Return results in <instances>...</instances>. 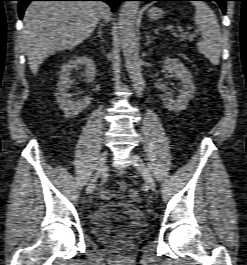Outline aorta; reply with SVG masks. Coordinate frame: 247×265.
Listing matches in <instances>:
<instances>
[{
    "instance_id": "obj_1",
    "label": "aorta",
    "mask_w": 247,
    "mask_h": 265,
    "mask_svg": "<svg viewBox=\"0 0 247 265\" xmlns=\"http://www.w3.org/2000/svg\"><path fill=\"white\" fill-rule=\"evenodd\" d=\"M138 10V1H125L120 9L118 26L126 69L136 93L140 96L143 93L145 81L141 73V60L135 30Z\"/></svg>"
}]
</instances>
